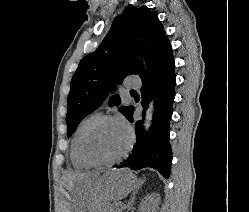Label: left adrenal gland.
Returning <instances> with one entry per match:
<instances>
[{
	"label": "left adrenal gland",
	"instance_id": "a2214340",
	"mask_svg": "<svg viewBox=\"0 0 249 212\" xmlns=\"http://www.w3.org/2000/svg\"><path fill=\"white\" fill-rule=\"evenodd\" d=\"M142 184H143V180H139V182H138V188L136 190L137 194H138V192H139ZM130 200H131V198H130ZM133 206H134V204H132V202H128L125 210H127V212H130V210H131V208H133Z\"/></svg>",
	"mask_w": 249,
	"mask_h": 212
}]
</instances>
